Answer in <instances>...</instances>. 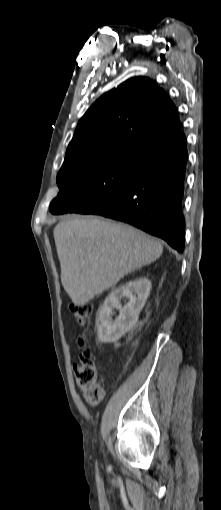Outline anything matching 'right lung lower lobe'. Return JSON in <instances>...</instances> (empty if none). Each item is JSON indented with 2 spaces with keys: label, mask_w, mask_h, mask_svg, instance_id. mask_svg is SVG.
<instances>
[{
  "label": "right lung lower lobe",
  "mask_w": 221,
  "mask_h": 510,
  "mask_svg": "<svg viewBox=\"0 0 221 510\" xmlns=\"http://www.w3.org/2000/svg\"><path fill=\"white\" fill-rule=\"evenodd\" d=\"M187 157L184 134L158 145L149 151L131 182L116 198L73 212L129 223L182 252L185 222L181 207Z\"/></svg>",
  "instance_id": "obj_1"
}]
</instances>
